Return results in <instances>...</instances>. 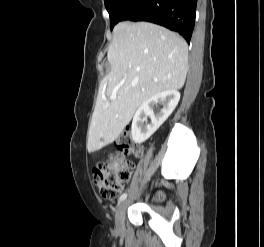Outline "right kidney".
<instances>
[{"label": "right kidney", "mask_w": 264, "mask_h": 247, "mask_svg": "<svg viewBox=\"0 0 264 247\" xmlns=\"http://www.w3.org/2000/svg\"><path fill=\"white\" fill-rule=\"evenodd\" d=\"M180 100V93L177 90H166L158 93L145 102L137 109L131 126V135L135 143L145 142L171 115ZM160 103L163 108L158 114H154V104ZM150 117L151 123L144 124Z\"/></svg>", "instance_id": "1"}]
</instances>
